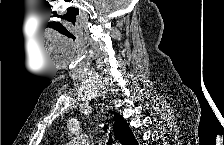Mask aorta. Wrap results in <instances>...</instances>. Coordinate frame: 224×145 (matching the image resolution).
<instances>
[{"label": "aorta", "instance_id": "aorta-1", "mask_svg": "<svg viewBox=\"0 0 224 145\" xmlns=\"http://www.w3.org/2000/svg\"><path fill=\"white\" fill-rule=\"evenodd\" d=\"M77 143H80V145H81V144H84V143H85V138H84L83 136H81V137L78 139Z\"/></svg>", "mask_w": 224, "mask_h": 145}]
</instances>
